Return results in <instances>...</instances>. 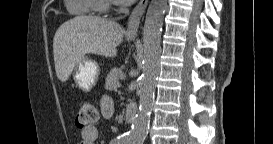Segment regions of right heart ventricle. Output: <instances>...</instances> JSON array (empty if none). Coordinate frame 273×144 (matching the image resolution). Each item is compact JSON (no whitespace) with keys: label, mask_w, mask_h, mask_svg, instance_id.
<instances>
[{"label":"right heart ventricle","mask_w":273,"mask_h":144,"mask_svg":"<svg viewBox=\"0 0 273 144\" xmlns=\"http://www.w3.org/2000/svg\"><path fill=\"white\" fill-rule=\"evenodd\" d=\"M94 0H65V8L72 16H85L91 13Z\"/></svg>","instance_id":"e07e8e85"}]
</instances>
